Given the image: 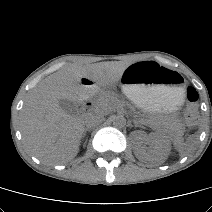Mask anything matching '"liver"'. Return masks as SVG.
<instances>
[{"mask_svg":"<svg viewBox=\"0 0 212 212\" xmlns=\"http://www.w3.org/2000/svg\"><path fill=\"white\" fill-rule=\"evenodd\" d=\"M128 66L122 61L86 66L72 64L42 80L21 111L22 138L29 152L47 165L72 160L79 151L85 130L84 117L63 111L59 100L77 101L84 90L80 84L82 78L100 87L112 86Z\"/></svg>","mask_w":212,"mask_h":212,"instance_id":"liver-1","label":"liver"}]
</instances>
